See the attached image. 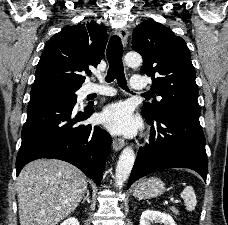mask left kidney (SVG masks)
Listing matches in <instances>:
<instances>
[{
    "instance_id": "5707ae66",
    "label": "left kidney",
    "mask_w": 228,
    "mask_h": 225,
    "mask_svg": "<svg viewBox=\"0 0 228 225\" xmlns=\"http://www.w3.org/2000/svg\"><path fill=\"white\" fill-rule=\"evenodd\" d=\"M163 223V225H175L174 219L167 213L159 211H144L140 217V225H151V223Z\"/></svg>"
}]
</instances>
